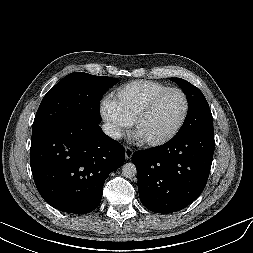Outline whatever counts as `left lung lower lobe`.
<instances>
[{"instance_id":"0a47b994","label":"left lung lower lobe","mask_w":253,"mask_h":253,"mask_svg":"<svg viewBox=\"0 0 253 253\" xmlns=\"http://www.w3.org/2000/svg\"><path fill=\"white\" fill-rule=\"evenodd\" d=\"M215 149L214 129L177 134L168 143L136 151L142 204L155 213L179 211L193 202L206 186Z\"/></svg>"}]
</instances>
